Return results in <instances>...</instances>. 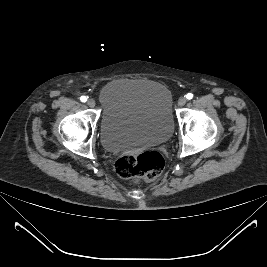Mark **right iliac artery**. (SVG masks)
I'll use <instances>...</instances> for the list:
<instances>
[{
  "mask_svg": "<svg viewBox=\"0 0 267 267\" xmlns=\"http://www.w3.org/2000/svg\"><path fill=\"white\" fill-rule=\"evenodd\" d=\"M80 99L82 102H86V100H87V98L85 96H82Z\"/></svg>",
  "mask_w": 267,
  "mask_h": 267,
  "instance_id": "right-iliac-artery-1",
  "label": "right iliac artery"
}]
</instances>
